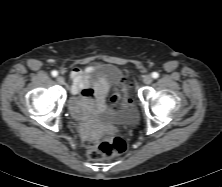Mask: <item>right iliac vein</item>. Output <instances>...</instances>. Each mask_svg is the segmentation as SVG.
Wrapping results in <instances>:
<instances>
[{
	"label": "right iliac vein",
	"instance_id": "obj_1",
	"mask_svg": "<svg viewBox=\"0 0 222 187\" xmlns=\"http://www.w3.org/2000/svg\"><path fill=\"white\" fill-rule=\"evenodd\" d=\"M56 80L60 85H63L65 83V79L62 76H58Z\"/></svg>",
	"mask_w": 222,
	"mask_h": 187
}]
</instances>
